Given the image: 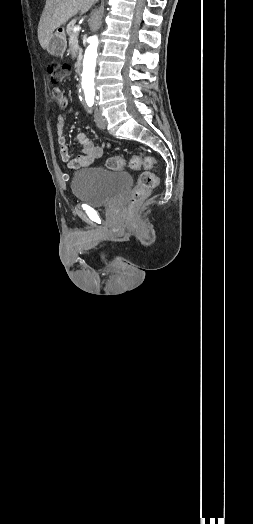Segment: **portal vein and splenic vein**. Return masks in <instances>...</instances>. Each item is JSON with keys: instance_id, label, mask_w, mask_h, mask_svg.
<instances>
[{"instance_id": "18ae733b", "label": "portal vein and splenic vein", "mask_w": 253, "mask_h": 524, "mask_svg": "<svg viewBox=\"0 0 253 524\" xmlns=\"http://www.w3.org/2000/svg\"><path fill=\"white\" fill-rule=\"evenodd\" d=\"M80 29H81L80 26H75L74 29H73V31H74V32H78Z\"/></svg>"}]
</instances>
